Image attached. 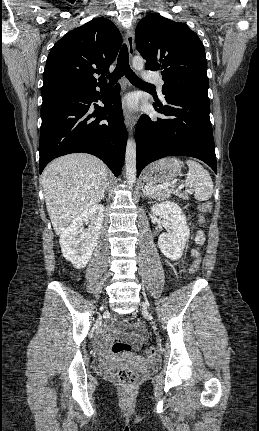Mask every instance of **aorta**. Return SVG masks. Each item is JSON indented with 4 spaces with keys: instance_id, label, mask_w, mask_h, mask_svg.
I'll use <instances>...</instances> for the list:
<instances>
[{
    "instance_id": "762f6f07",
    "label": "aorta",
    "mask_w": 259,
    "mask_h": 431,
    "mask_svg": "<svg viewBox=\"0 0 259 431\" xmlns=\"http://www.w3.org/2000/svg\"><path fill=\"white\" fill-rule=\"evenodd\" d=\"M133 68L135 70H142L144 67V60L140 56H135L132 61ZM125 167H126V181L129 186H133L136 181V143L135 139L130 138L126 146L125 155Z\"/></svg>"
}]
</instances>
